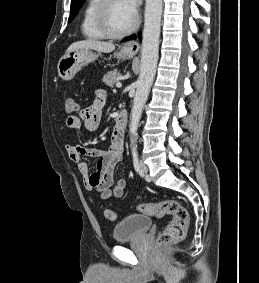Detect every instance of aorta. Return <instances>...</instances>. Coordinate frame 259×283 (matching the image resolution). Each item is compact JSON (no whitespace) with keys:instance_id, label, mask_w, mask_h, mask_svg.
<instances>
[{"instance_id":"762f6f07","label":"aorta","mask_w":259,"mask_h":283,"mask_svg":"<svg viewBox=\"0 0 259 283\" xmlns=\"http://www.w3.org/2000/svg\"><path fill=\"white\" fill-rule=\"evenodd\" d=\"M162 0H146L142 38L140 75L136 82V94L130 118V138L134 144L143 107L154 81L158 62Z\"/></svg>"}]
</instances>
